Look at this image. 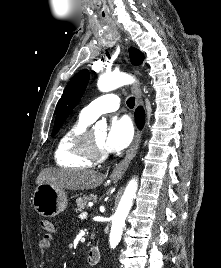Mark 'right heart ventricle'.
<instances>
[{
    "instance_id": "1",
    "label": "right heart ventricle",
    "mask_w": 221,
    "mask_h": 268,
    "mask_svg": "<svg viewBox=\"0 0 221 268\" xmlns=\"http://www.w3.org/2000/svg\"><path fill=\"white\" fill-rule=\"evenodd\" d=\"M92 123L82 114L60 136L55 148V161L59 166L69 168H89L93 161L80 150V138Z\"/></svg>"
}]
</instances>
